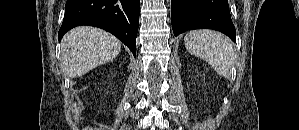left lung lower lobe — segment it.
Listing matches in <instances>:
<instances>
[{"label":"left lung lower lobe","instance_id":"left-lung-lower-lobe-1","mask_svg":"<svg viewBox=\"0 0 299 130\" xmlns=\"http://www.w3.org/2000/svg\"><path fill=\"white\" fill-rule=\"evenodd\" d=\"M172 29L175 36L193 29H213L236 41L228 0H172Z\"/></svg>","mask_w":299,"mask_h":130}]
</instances>
